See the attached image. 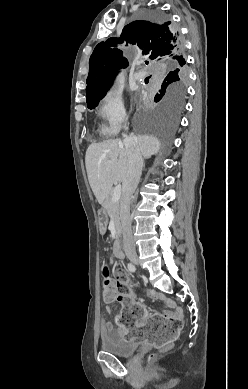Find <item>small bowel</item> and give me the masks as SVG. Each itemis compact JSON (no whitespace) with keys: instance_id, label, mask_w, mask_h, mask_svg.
<instances>
[{"instance_id":"small-bowel-1","label":"small bowel","mask_w":248,"mask_h":389,"mask_svg":"<svg viewBox=\"0 0 248 389\" xmlns=\"http://www.w3.org/2000/svg\"><path fill=\"white\" fill-rule=\"evenodd\" d=\"M110 284L113 285L112 283H110ZM129 290L131 292H137L139 290V287L137 285H131L129 287ZM147 296L152 298V299L162 301L167 308L166 315H169L170 317H182V308L177 307L175 302L172 299L167 298L164 294L159 293L155 290H148ZM113 302H115V300L114 301H105V303H106L105 309L107 312L111 311L110 304ZM148 315H150V314H147V316ZM114 331H115V329L113 328V325L111 322H102L101 323V335L111 334ZM117 332L124 337L128 333V332H125L123 330H117Z\"/></svg>"}]
</instances>
